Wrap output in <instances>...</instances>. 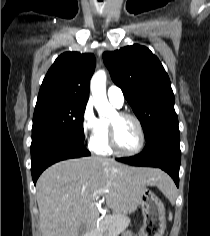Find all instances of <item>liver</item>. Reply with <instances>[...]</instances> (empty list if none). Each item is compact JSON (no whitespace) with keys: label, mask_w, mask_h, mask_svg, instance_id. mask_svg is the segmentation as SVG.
I'll list each match as a JSON object with an SVG mask.
<instances>
[{"label":"liver","mask_w":210,"mask_h":236,"mask_svg":"<svg viewBox=\"0 0 210 236\" xmlns=\"http://www.w3.org/2000/svg\"><path fill=\"white\" fill-rule=\"evenodd\" d=\"M168 183L170 177L159 169L130 167L112 159L91 156L58 162L36 184L42 236H77L81 224L95 225L101 197L113 211L131 213L143 187L156 185L166 193Z\"/></svg>","instance_id":"6515ba94"}]
</instances>
